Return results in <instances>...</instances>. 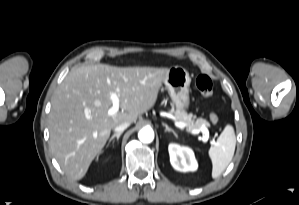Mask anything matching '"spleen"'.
Instances as JSON below:
<instances>
[{"label":"spleen","instance_id":"3e777b00","mask_svg":"<svg viewBox=\"0 0 299 205\" xmlns=\"http://www.w3.org/2000/svg\"><path fill=\"white\" fill-rule=\"evenodd\" d=\"M236 145V136L232 125H226L215 146L208 151L212 161V178L219 177L232 161Z\"/></svg>","mask_w":299,"mask_h":205}]
</instances>
